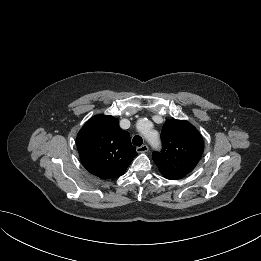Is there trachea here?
Returning a JSON list of instances; mask_svg holds the SVG:
<instances>
[{
	"label": "trachea",
	"instance_id": "3493384b",
	"mask_svg": "<svg viewBox=\"0 0 261 261\" xmlns=\"http://www.w3.org/2000/svg\"><path fill=\"white\" fill-rule=\"evenodd\" d=\"M132 142H133L134 145L140 147L142 145V143H143V139H142V137L136 135V136L133 137Z\"/></svg>",
	"mask_w": 261,
	"mask_h": 261
}]
</instances>
